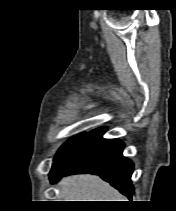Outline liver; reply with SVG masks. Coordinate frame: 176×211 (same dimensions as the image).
<instances>
[{"mask_svg":"<svg viewBox=\"0 0 176 211\" xmlns=\"http://www.w3.org/2000/svg\"><path fill=\"white\" fill-rule=\"evenodd\" d=\"M59 185L64 201H126L116 189L96 175L68 176Z\"/></svg>","mask_w":176,"mask_h":211,"instance_id":"obj_1","label":"liver"}]
</instances>
